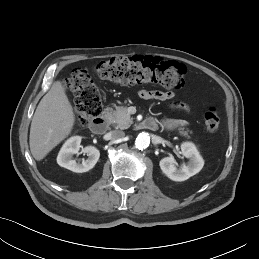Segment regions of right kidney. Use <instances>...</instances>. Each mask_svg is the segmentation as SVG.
Here are the masks:
<instances>
[{
	"label": "right kidney",
	"mask_w": 259,
	"mask_h": 259,
	"mask_svg": "<svg viewBox=\"0 0 259 259\" xmlns=\"http://www.w3.org/2000/svg\"><path fill=\"white\" fill-rule=\"evenodd\" d=\"M80 143V136L71 137L64 143L57 156V163L61 167L76 173H83L89 171L95 166L100 157V152L94 146H86L82 149V152L88 156L86 160H82V163H79L73 159V155L77 154L80 150Z\"/></svg>",
	"instance_id": "obj_1"
}]
</instances>
